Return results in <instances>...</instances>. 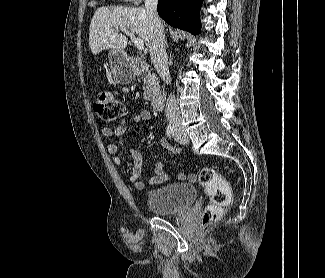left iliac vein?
Segmentation results:
<instances>
[{
  "label": "left iliac vein",
  "mask_w": 325,
  "mask_h": 278,
  "mask_svg": "<svg viewBox=\"0 0 325 278\" xmlns=\"http://www.w3.org/2000/svg\"><path fill=\"white\" fill-rule=\"evenodd\" d=\"M174 138L180 144L189 143V137L183 130H176L174 134Z\"/></svg>",
  "instance_id": "4c4485c4"
}]
</instances>
